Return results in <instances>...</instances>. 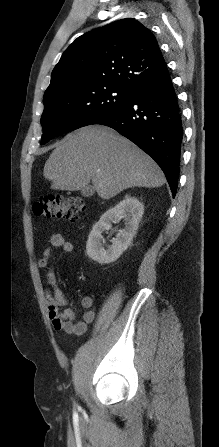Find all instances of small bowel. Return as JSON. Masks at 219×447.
Returning <instances> with one entry per match:
<instances>
[{"instance_id":"small-bowel-1","label":"small bowel","mask_w":219,"mask_h":447,"mask_svg":"<svg viewBox=\"0 0 219 447\" xmlns=\"http://www.w3.org/2000/svg\"><path fill=\"white\" fill-rule=\"evenodd\" d=\"M56 250L71 253L74 250V245L70 241L65 240L60 234L51 235L49 245L39 259L38 266L41 268L48 267L51 256ZM46 280L53 289L52 292H46L45 294V304L52 327L57 331L83 334L87 329V325L94 320L95 313L92 309L93 298L91 296H84L81 299V307L84 309L82 320L75 322L77 318L76 311L70 308L65 310L60 309L62 306L67 305L69 300L66 293L58 286L55 273L51 269H48L46 273Z\"/></svg>"}]
</instances>
